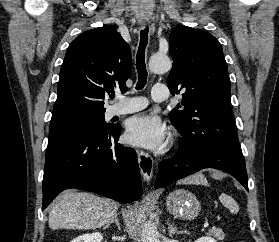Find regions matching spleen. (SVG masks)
I'll list each match as a JSON object with an SVG mask.
<instances>
[{
    "mask_svg": "<svg viewBox=\"0 0 279 242\" xmlns=\"http://www.w3.org/2000/svg\"><path fill=\"white\" fill-rule=\"evenodd\" d=\"M220 202L227 207L232 213H238L239 206L236 201L229 195L222 193L219 197Z\"/></svg>",
    "mask_w": 279,
    "mask_h": 242,
    "instance_id": "obj_1",
    "label": "spleen"
}]
</instances>
